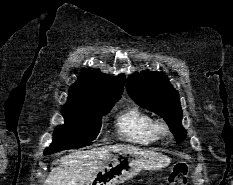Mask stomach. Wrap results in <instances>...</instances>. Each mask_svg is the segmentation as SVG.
<instances>
[{
	"mask_svg": "<svg viewBox=\"0 0 233 185\" xmlns=\"http://www.w3.org/2000/svg\"><path fill=\"white\" fill-rule=\"evenodd\" d=\"M170 164V159L159 152L128 147L116 153L84 185H118L142 170H161Z\"/></svg>",
	"mask_w": 233,
	"mask_h": 185,
	"instance_id": "1",
	"label": "stomach"
}]
</instances>
